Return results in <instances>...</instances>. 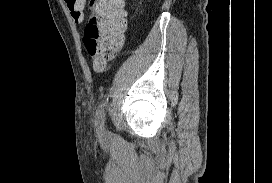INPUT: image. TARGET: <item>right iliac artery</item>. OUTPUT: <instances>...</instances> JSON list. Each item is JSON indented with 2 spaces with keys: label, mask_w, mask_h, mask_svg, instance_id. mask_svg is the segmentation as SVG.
Instances as JSON below:
<instances>
[{
  "label": "right iliac artery",
  "mask_w": 272,
  "mask_h": 183,
  "mask_svg": "<svg viewBox=\"0 0 272 183\" xmlns=\"http://www.w3.org/2000/svg\"><path fill=\"white\" fill-rule=\"evenodd\" d=\"M103 107L104 104H101L96 112L95 124L99 132L103 131L104 129L105 113Z\"/></svg>",
  "instance_id": "82829eb1"
}]
</instances>
